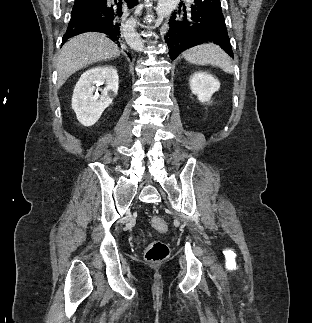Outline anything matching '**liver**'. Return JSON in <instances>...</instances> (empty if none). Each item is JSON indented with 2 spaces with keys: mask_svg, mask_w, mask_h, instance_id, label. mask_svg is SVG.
<instances>
[{
  "mask_svg": "<svg viewBox=\"0 0 312 323\" xmlns=\"http://www.w3.org/2000/svg\"><path fill=\"white\" fill-rule=\"evenodd\" d=\"M117 56H120V50L112 40L106 38V34L86 32L70 38L57 58V88H61L69 76L81 68Z\"/></svg>",
  "mask_w": 312,
  "mask_h": 323,
  "instance_id": "liver-1",
  "label": "liver"
}]
</instances>
